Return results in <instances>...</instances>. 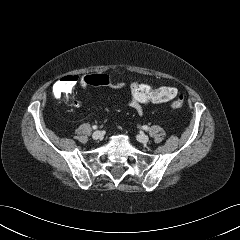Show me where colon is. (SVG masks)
I'll return each mask as SVG.
<instances>
[{
  "label": "colon",
  "instance_id": "colon-1",
  "mask_svg": "<svg viewBox=\"0 0 240 240\" xmlns=\"http://www.w3.org/2000/svg\"><path fill=\"white\" fill-rule=\"evenodd\" d=\"M83 82L93 86H110L122 88L124 84L106 74H90L83 78ZM76 83L74 77L60 79L54 86L56 96L68 95ZM130 96L140 104L170 103L172 109H179L184 105V96L172 86L152 87L146 83L132 82L128 86Z\"/></svg>",
  "mask_w": 240,
  "mask_h": 240
}]
</instances>
